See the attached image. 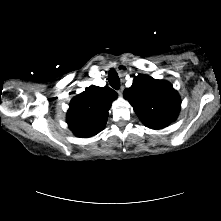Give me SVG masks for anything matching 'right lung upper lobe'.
Here are the masks:
<instances>
[{
	"mask_svg": "<svg viewBox=\"0 0 221 221\" xmlns=\"http://www.w3.org/2000/svg\"><path fill=\"white\" fill-rule=\"evenodd\" d=\"M117 93L109 87L90 86L69 105L67 123L76 136L87 138L104 129Z\"/></svg>",
	"mask_w": 221,
	"mask_h": 221,
	"instance_id": "right-lung-upper-lobe-1",
	"label": "right lung upper lobe"
}]
</instances>
